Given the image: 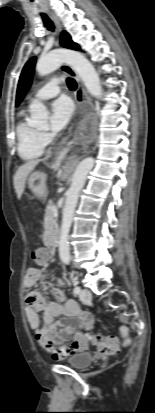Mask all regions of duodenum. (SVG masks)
<instances>
[{
  "label": "duodenum",
  "mask_w": 155,
  "mask_h": 413,
  "mask_svg": "<svg viewBox=\"0 0 155 413\" xmlns=\"http://www.w3.org/2000/svg\"><path fill=\"white\" fill-rule=\"evenodd\" d=\"M59 239V233L58 230H51V244H56Z\"/></svg>",
  "instance_id": "410a0bca"
}]
</instances>
